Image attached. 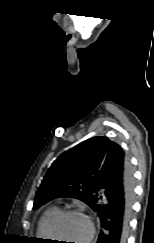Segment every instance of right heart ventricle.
Wrapping results in <instances>:
<instances>
[{
  "mask_svg": "<svg viewBox=\"0 0 154 243\" xmlns=\"http://www.w3.org/2000/svg\"><path fill=\"white\" fill-rule=\"evenodd\" d=\"M59 211L57 206H51L44 211L42 216L39 219L37 234L42 239H49L48 236V224L52 217Z\"/></svg>",
  "mask_w": 154,
  "mask_h": 243,
  "instance_id": "obj_1",
  "label": "right heart ventricle"
}]
</instances>
